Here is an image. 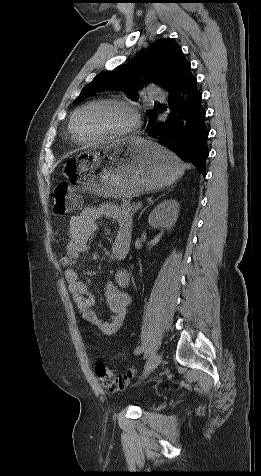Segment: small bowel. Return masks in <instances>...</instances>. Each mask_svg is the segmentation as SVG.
Segmentation results:
<instances>
[{"label":"small bowel","instance_id":"obj_1","mask_svg":"<svg viewBox=\"0 0 261 476\" xmlns=\"http://www.w3.org/2000/svg\"><path fill=\"white\" fill-rule=\"evenodd\" d=\"M101 218H110L117 223V231L112 244L113 258L122 260L126 257L131 243L132 217L118 206L102 204L98 207L86 208L80 214L72 217L69 237L65 244V255L60 259V264L64 267L68 291L76 309L101 333L111 335L121 327L132 303V296L126 290L130 284L128 271L117 270L115 282L105 286V298L112 315L109 319L104 320L93 309L95 299L74 268L79 256L88 250V242L97 233V221Z\"/></svg>","mask_w":261,"mask_h":476}]
</instances>
